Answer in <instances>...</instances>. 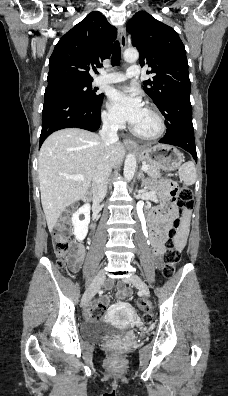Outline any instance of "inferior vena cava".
Here are the masks:
<instances>
[{
  "mask_svg": "<svg viewBox=\"0 0 228 396\" xmlns=\"http://www.w3.org/2000/svg\"><path fill=\"white\" fill-rule=\"evenodd\" d=\"M118 125L112 120H103L102 129L99 131L101 141L105 146H109L113 143L118 142L119 138L117 135ZM111 172V165L108 161V156L103 157L102 162L98 166V170L92 181V192L93 198L101 200L107 193V181Z\"/></svg>",
  "mask_w": 228,
  "mask_h": 396,
  "instance_id": "obj_1",
  "label": "inferior vena cava"
}]
</instances>
